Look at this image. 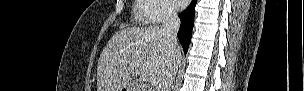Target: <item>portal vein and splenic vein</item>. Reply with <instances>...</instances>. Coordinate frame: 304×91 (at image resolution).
Wrapping results in <instances>:
<instances>
[{
    "instance_id": "obj_1",
    "label": "portal vein and splenic vein",
    "mask_w": 304,
    "mask_h": 91,
    "mask_svg": "<svg viewBox=\"0 0 304 91\" xmlns=\"http://www.w3.org/2000/svg\"><path fill=\"white\" fill-rule=\"evenodd\" d=\"M157 83H158L157 78L150 77V78L148 79V84H149L150 86H155Z\"/></svg>"
}]
</instances>
